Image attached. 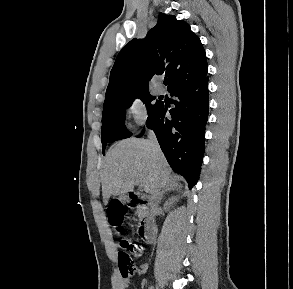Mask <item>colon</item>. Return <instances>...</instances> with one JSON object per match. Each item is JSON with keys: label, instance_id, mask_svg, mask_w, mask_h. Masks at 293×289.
Wrapping results in <instances>:
<instances>
[{"label": "colon", "instance_id": "obj_1", "mask_svg": "<svg viewBox=\"0 0 293 289\" xmlns=\"http://www.w3.org/2000/svg\"><path fill=\"white\" fill-rule=\"evenodd\" d=\"M125 214L123 207L120 204L112 206L109 212L110 221L118 226L121 223L122 217ZM122 251L119 253V266L124 277H128L136 272V266L132 262L131 256L139 257L144 253V246L136 241L128 238H123L120 241Z\"/></svg>", "mask_w": 293, "mask_h": 289}]
</instances>
